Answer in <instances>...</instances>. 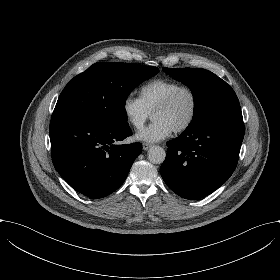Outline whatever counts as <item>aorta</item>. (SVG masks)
I'll use <instances>...</instances> for the list:
<instances>
[{
  "instance_id": "1",
  "label": "aorta",
  "mask_w": 280,
  "mask_h": 280,
  "mask_svg": "<svg viewBox=\"0 0 280 280\" xmlns=\"http://www.w3.org/2000/svg\"><path fill=\"white\" fill-rule=\"evenodd\" d=\"M166 157L165 150L160 146H153L148 151V159L153 164H161Z\"/></svg>"
}]
</instances>
